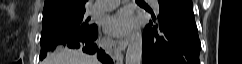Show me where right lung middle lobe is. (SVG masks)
I'll return each instance as SVG.
<instances>
[{"mask_svg": "<svg viewBox=\"0 0 242 64\" xmlns=\"http://www.w3.org/2000/svg\"><path fill=\"white\" fill-rule=\"evenodd\" d=\"M41 53L50 47L93 33L97 26L85 14V6L43 13Z\"/></svg>", "mask_w": 242, "mask_h": 64, "instance_id": "dd1d6c3e", "label": "right lung middle lobe"}]
</instances>
